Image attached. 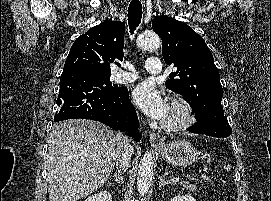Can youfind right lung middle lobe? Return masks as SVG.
I'll list each match as a JSON object with an SVG mask.
<instances>
[{
  "label": "right lung middle lobe",
  "instance_id": "obj_1",
  "mask_svg": "<svg viewBox=\"0 0 271 201\" xmlns=\"http://www.w3.org/2000/svg\"><path fill=\"white\" fill-rule=\"evenodd\" d=\"M65 87L81 91L99 90L104 93H114L120 89L111 84L110 75L83 69L64 71L60 78V90Z\"/></svg>",
  "mask_w": 271,
  "mask_h": 201
}]
</instances>
